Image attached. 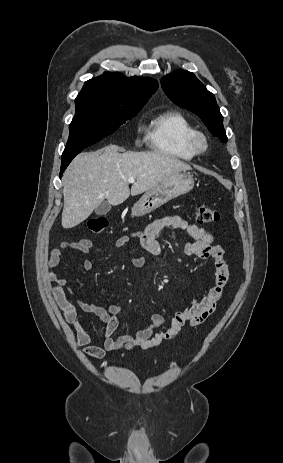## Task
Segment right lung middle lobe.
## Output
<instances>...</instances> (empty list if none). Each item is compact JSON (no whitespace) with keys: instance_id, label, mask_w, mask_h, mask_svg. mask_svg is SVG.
<instances>
[{"instance_id":"1","label":"right lung middle lobe","mask_w":283,"mask_h":463,"mask_svg":"<svg viewBox=\"0 0 283 463\" xmlns=\"http://www.w3.org/2000/svg\"><path fill=\"white\" fill-rule=\"evenodd\" d=\"M75 117L63 154L82 150L113 133L132 119L145 104L95 100L77 96Z\"/></svg>"}]
</instances>
